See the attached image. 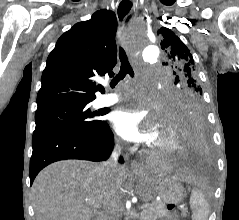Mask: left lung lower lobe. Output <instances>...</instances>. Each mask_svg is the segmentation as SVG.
Listing matches in <instances>:
<instances>
[{
    "instance_id": "obj_1",
    "label": "left lung lower lobe",
    "mask_w": 239,
    "mask_h": 220,
    "mask_svg": "<svg viewBox=\"0 0 239 220\" xmlns=\"http://www.w3.org/2000/svg\"><path fill=\"white\" fill-rule=\"evenodd\" d=\"M182 137L179 161L187 166L205 165L209 157V134L201 106L185 108L174 118Z\"/></svg>"
}]
</instances>
